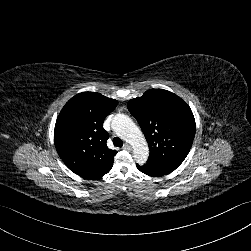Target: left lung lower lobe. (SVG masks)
Here are the masks:
<instances>
[{"instance_id": "obj_1", "label": "left lung lower lobe", "mask_w": 251, "mask_h": 251, "mask_svg": "<svg viewBox=\"0 0 251 251\" xmlns=\"http://www.w3.org/2000/svg\"><path fill=\"white\" fill-rule=\"evenodd\" d=\"M137 168L142 173L148 176L160 177L173 172L177 168V166L158 161L148 160L147 163L143 166L137 164Z\"/></svg>"}]
</instances>
